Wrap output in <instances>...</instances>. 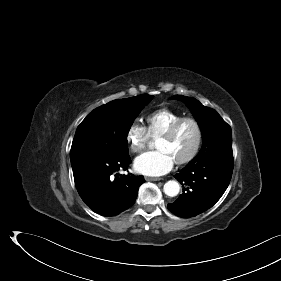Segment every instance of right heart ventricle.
I'll return each instance as SVG.
<instances>
[{"label":"right heart ventricle","instance_id":"right-heart-ventricle-1","mask_svg":"<svg viewBox=\"0 0 281 281\" xmlns=\"http://www.w3.org/2000/svg\"><path fill=\"white\" fill-rule=\"evenodd\" d=\"M182 115L168 108H160L146 117L147 130L151 138H159Z\"/></svg>","mask_w":281,"mask_h":281}]
</instances>
